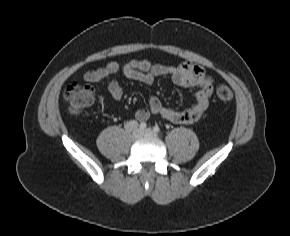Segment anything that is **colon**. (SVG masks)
Instances as JSON below:
<instances>
[{
  "label": "colon",
  "instance_id": "5ec220e1",
  "mask_svg": "<svg viewBox=\"0 0 290 236\" xmlns=\"http://www.w3.org/2000/svg\"><path fill=\"white\" fill-rule=\"evenodd\" d=\"M216 97L220 101H229L233 92L229 86L220 84L216 87ZM64 99L68 103L69 110L73 114H80L95 100V91L89 85L72 83L64 91Z\"/></svg>",
  "mask_w": 290,
  "mask_h": 236
}]
</instances>
